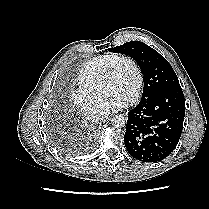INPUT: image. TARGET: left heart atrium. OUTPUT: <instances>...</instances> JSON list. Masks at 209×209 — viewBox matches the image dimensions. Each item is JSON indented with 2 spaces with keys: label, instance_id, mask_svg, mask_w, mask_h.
<instances>
[{
  "label": "left heart atrium",
  "instance_id": "39dd6f15",
  "mask_svg": "<svg viewBox=\"0 0 209 209\" xmlns=\"http://www.w3.org/2000/svg\"><path fill=\"white\" fill-rule=\"evenodd\" d=\"M126 100L118 97V96H111L107 101H106V106L108 108H116V107H121L125 104Z\"/></svg>",
  "mask_w": 209,
  "mask_h": 209
}]
</instances>
